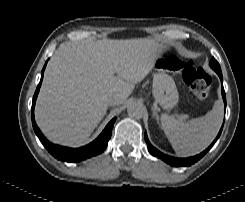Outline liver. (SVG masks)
Returning <instances> with one entry per match:
<instances>
[{
    "mask_svg": "<svg viewBox=\"0 0 245 202\" xmlns=\"http://www.w3.org/2000/svg\"><path fill=\"white\" fill-rule=\"evenodd\" d=\"M162 51L159 42L146 38L60 45L47 65L36 102L40 130L56 144L85 142L106 114L107 97L117 94L118 104L124 103Z\"/></svg>",
    "mask_w": 245,
    "mask_h": 202,
    "instance_id": "liver-1",
    "label": "liver"
}]
</instances>
